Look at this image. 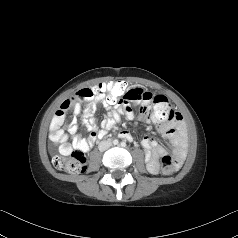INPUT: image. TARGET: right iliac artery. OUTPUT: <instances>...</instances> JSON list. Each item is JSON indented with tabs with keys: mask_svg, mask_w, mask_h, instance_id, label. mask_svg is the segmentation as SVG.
I'll return each mask as SVG.
<instances>
[{
	"mask_svg": "<svg viewBox=\"0 0 238 238\" xmlns=\"http://www.w3.org/2000/svg\"><path fill=\"white\" fill-rule=\"evenodd\" d=\"M119 142H118V140L117 139H115L114 141H113V144L114 145H117Z\"/></svg>",
	"mask_w": 238,
	"mask_h": 238,
	"instance_id": "82829eb1",
	"label": "right iliac artery"
}]
</instances>
